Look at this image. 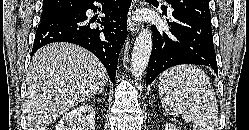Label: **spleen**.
Segmentation results:
<instances>
[{"instance_id":"3e777b00","label":"spleen","mask_w":249,"mask_h":130,"mask_svg":"<svg viewBox=\"0 0 249 130\" xmlns=\"http://www.w3.org/2000/svg\"><path fill=\"white\" fill-rule=\"evenodd\" d=\"M159 95L170 115L193 122L194 130H217V99L206 74L197 66L179 65L160 77Z\"/></svg>"}]
</instances>
